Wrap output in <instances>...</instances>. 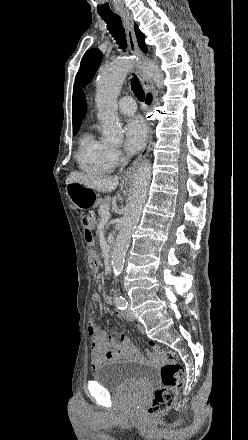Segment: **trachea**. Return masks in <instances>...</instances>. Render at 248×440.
Instances as JSON below:
<instances>
[{"label":"trachea","mask_w":248,"mask_h":440,"mask_svg":"<svg viewBox=\"0 0 248 440\" xmlns=\"http://www.w3.org/2000/svg\"><path fill=\"white\" fill-rule=\"evenodd\" d=\"M100 16L106 22L107 29L109 30L112 37H114V39L116 40L117 44L119 45V48L126 49L127 47L126 35L124 28L122 26V21L120 16L117 14L100 15ZM131 89L134 92L135 96L138 98V100L144 101L145 99L144 90L139 82V79L135 75L131 79Z\"/></svg>","instance_id":"obj_1"}]
</instances>
